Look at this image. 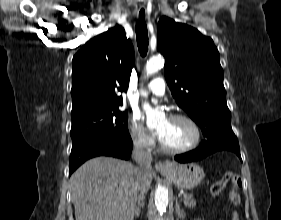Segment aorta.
<instances>
[{
    "mask_svg": "<svg viewBox=\"0 0 281 220\" xmlns=\"http://www.w3.org/2000/svg\"><path fill=\"white\" fill-rule=\"evenodd\" d=\"M163 65L164 59L162 56L158 55L150 58L146 65L147 75H152L158 72V70L161 69ZM142 107L146 113L147 126L153 127L156 124L158 117L160 116V112L153 109L147 102H144ZM168 201V190L164 186H158L155 192V205L160 214H163L166 211Z\"/></svg>",
    "mask_w": 281,
    "mask_h": 220,
    "instance_id": "1",
    "label": "aorta"
}]
</instances>
